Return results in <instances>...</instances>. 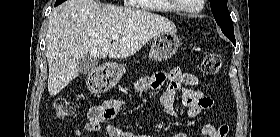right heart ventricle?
Masks as SVG:
<instances>
[{"label": "right heart ventricle", "instance_id": "right-heart-ventricle-1", "mask_svg": "<svg viewBox=\"0 0 280 137\" xmlns=\"http://www.w3.org/2000/svg\"><path fill=\"white\" fill-rule=\"evenodd\" d=\"M168 10H169V11H168L167 13H171V12H172V10H171L170 8H168Z\"/></svg>", "mask_w": 280, "mask_h": 137}]
</instances>
